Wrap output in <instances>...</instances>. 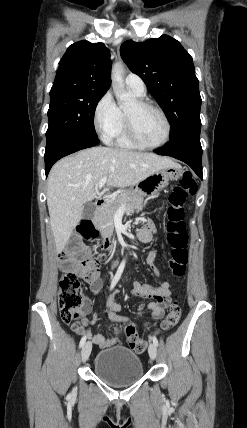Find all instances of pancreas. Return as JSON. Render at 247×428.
Wrapping results in <instances>:
<instances>
[{
  "label": "pancreas",
  "mask_w": 247,
  "mask_h": 428,
  "mask_svg": "<svg viewBox=\"0 0 247 428\" xmlns=\"http://www.w3.org/2000/svg\"><path fill=\"white\" fill-rule=\"evenodd\" d=\"M144 195L139 190H122L118 195L110 198L105 205L100 209L96 224L105 232L107 229L113 230L114 215L121 205H125L126 212H138L144 206Z\"/></svg>",
  "instance_id": "obj_1"
}]
</instances>
